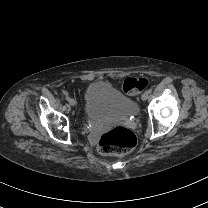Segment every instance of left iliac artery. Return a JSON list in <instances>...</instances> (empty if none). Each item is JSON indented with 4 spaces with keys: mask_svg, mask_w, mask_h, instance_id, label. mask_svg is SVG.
<instances>
[{
    "mask_svg": "<svg viewBox=\"0 0 208 208\" xmlns=\"http://www.w3.org/2000/svg\"><path fill=\"white\" fill-rule=\"evenodd\" d=\"M147 93H148V94H151V93H152V89H148V90H147Z\"/></svg>",
    "mask_w": 208,
    "mask_h": 208,
    "instance_id": "1",
    "label": "left iliac artery"
}]
</instances>
